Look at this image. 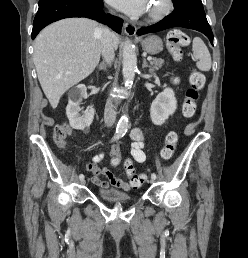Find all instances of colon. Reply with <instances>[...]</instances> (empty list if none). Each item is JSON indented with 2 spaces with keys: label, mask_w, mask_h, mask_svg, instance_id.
<instances>
[{
  "label": "colon",
  "mask_w": 248,
  "mask_h": 258,
  "mask_svg": "<svg viewBox=\"0 0 248 258\" xmlns=\"http://www.w3.org/2000/svg\"><path fill=\"white\" fill-rule=\"evenodd\" d=\"M189 43L188 36L179 31L173 30L168 35L167 46L169 48L170 53L173 55L175 59H182L183 57V47H185ZM205 84L204 75L195 69L193 66L191 68L190 76H189V88L186 91L185 100L182 107L183 116L185 118H192L196 114L197 102L200 97V92L202 91ZM71 134V128L68 124L63 123L59 124L54 128L53 138L55 143L64 148L67 144V140ZM166 143L163 149L161 150V158L164 160H168L172 157L175 145L178 140V134L176 131H169L166 135ZM111 164L113 166H117L120 163V150L122 149L121 145H112L111 146ZM124 158L121 161V168L126 169L128 176L131 178V182L133 186L139 187L144 181L147 179V175L137 174L135 172V159Z\"/></svg>",
  "instance_id": "5ec220e1"
}]
</instances>
